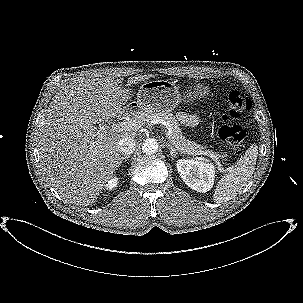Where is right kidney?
I'll return each instance as SVG.
<instances>
[{
  "label": "right kidney",
  "mask_w": 303,
  "mask_h": 303,
  "mask_svg": "<svg viewBox=\"0 0 303 303\" xmlns=\"http://www.w3.org/2000/svg\"><path fill=\"white\" fill-rule=\"evenodd\" d=\"M117 184H118V178L114 177V178H111L107 182L106 187H107V189L112 190L113 188H115L117 186Z\"/></svg>",
  "instance_id": "right-kidney-1"
}]
</instances>
